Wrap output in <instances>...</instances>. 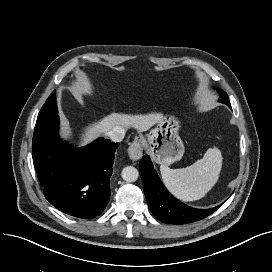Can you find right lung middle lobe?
Listing matches in <instances>:
<instances>
[{
    "instance_id": "obj_1",
    "label": "right lung middle lobe",
    "mask_w": 272,
    "mask_h": 272,
    "mask_svg": "<svg viewBox=\"0 0 272 272\" xmlns=\"http://www.w3.org/2000/svg\"><path fill=\"white\" fill-rule=\"evenodd\" d=\"M57 104H56V96L55 91L49 96L46 103L41 108L37 120L43 119L49 116L57 115Z\"/></svg>"
}]
</instances>
